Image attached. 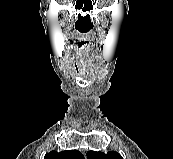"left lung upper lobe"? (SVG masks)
<instances>
[{"mask_svg": "<svg viewBox=\"0 0 173 159\" xmlns=\"http://www.w3.org/2000/svg\"><path fill=\"white\" fill-rule=\"evenodd\" d=\"M87 159H123L122 156L115 151H110L107 154L103 152L89 151Z\"/></svg>", "mask_w": 173, "mask_h": 159, "instance_id": "left-lung-upper-lobe-1", "label": "left lung upper lobe"}]
</instances>
